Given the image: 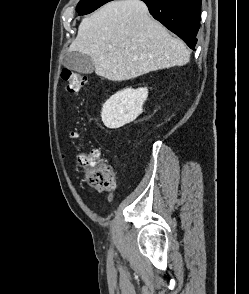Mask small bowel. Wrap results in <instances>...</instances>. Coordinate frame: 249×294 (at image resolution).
<instances>
[{
    "mask_svg": "<svg viewBox=\"0 0 249 294\" xmlns=\"http://www.w3.org/2000/svg\"><path fill=\"white\" fill-rule=\"evenodd\" d=\"M108 200H110V201L112 200V196L111 195L108 197Z\"/></svg>",
    "mask_w": 249,
    "mask_h": 294,
    "instance_id": "small-bowel-1",
    "label": "small bowel"
}]
</instances>
